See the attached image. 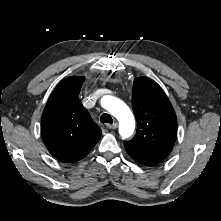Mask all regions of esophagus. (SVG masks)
Segmentation results:
<instances>
[{"instance_id": "1", "label": "esophagus", "mask_w": 221, "mask_h": 221, "mask_svg": "<svg viewBox=\"0 0 221 221\" xmlns=\"http://www.w3.org/2000/svg\"><path fill=\"white\" fill-rule=\"evenodd\" d=\"M108 129H116L117 128V123H113V124H108L107 125Z\"/></svg>"}]
</instances>
